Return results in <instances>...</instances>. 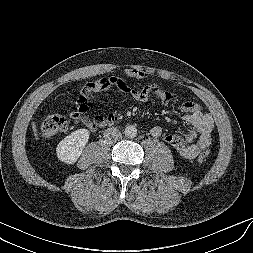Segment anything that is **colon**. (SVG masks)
Listing matches in <instances>:
<instances>
[{
	"label": "colon",
	"mask_w": 253,
	"mask_h": 253,
	"mask_svg": "<svg viewBox=\"0 0 253 253\" xmlns=\"http://www.w3.org/2000/svg\"><path fill=\"white\" fill-rule=\"evenodd\" d=\"M68 128L66 117L59 113L45 115L41 122V133L44 137L49 138L65 132ZM211 152L209 150L202 151L198 156L199 162H204L208 159Z\"/></svg>",
	"instance_id": "1"
}]
</instances>
